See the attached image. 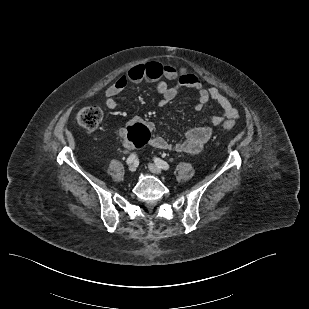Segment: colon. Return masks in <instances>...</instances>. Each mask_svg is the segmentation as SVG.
Listing matches in <instances>:
<instances>
[{"label":"colon","instance_id":"colon-1","mask_svg":"<svg viewBox=\"0 0 309 309\" xmlns=\"http://www.w3.org/2000/svg\"><path fill=\"white\" fill-rule=\"evenodd\" d=\"M180 77L187 76L183 69L178 71ZM102 119V111L98 106H86L82 108L77 115L78 123L86 130H95ZM235 126L234 122L225 121L222 125L223 129L231 130ZM128 139L133 144L134 148H141L148 143L150 138L149 129L141 124L137 123L127 128Z\"/></svg>","mask_w":309,"mask_h":309}]
</instances>
